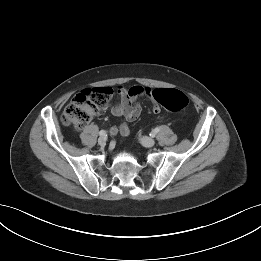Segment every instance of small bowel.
I'll return each mask as SVG.
<instances>
[{
  "instance_id": "1",
  "label": "small bowel",
  "mask_w": 261,
  "mask_h": 261,
  "mask_svg": "<svg viewBox=\"0 0 261 261\" xmlns=\"http://www.w3.org/2000/svg\"><path fill=\"white\" fill-rule=\"evenodd\" d=\"M152 92L150 88L140 85H134L129 88L119 86L117 88L119 102L110 107V112L116 117H123L126 121H134L141 114V106L137 100L144 95L153 99ZM159 110V107L154 102L153 111L158 113ZM119 131L122 136H127L130 133V129L126 123L120 125Z\"/></svg>"
}]
</instances>
